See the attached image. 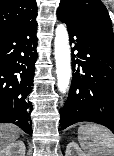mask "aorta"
I'll return each mask as SVG.
<instances>
[{"label":"aorta","instance_id":"obj_1","mask_svg":"<svg viewBox=\"0 0 114 156\" xmlns=\"http://www.w3.org/2000/svg\"><path fill=\"white\" fill-rule=\"evenodd\" d=\"M54 45L57 86L60 92L66 93L71 78V55L68 32L63 24L56 27Z\"/></svg>","mask_w":114,"mask_h":156}]
</instances>
